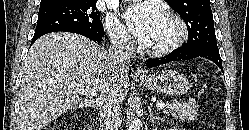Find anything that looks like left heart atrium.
Here are the masks:
<instances>
[{"label": "left heart atrium", "instance_id": "1", "mask_svg": "<svg viewBox=\"0 0 249 130\" xmlns=\"http://www.w3.org/2000/svg\"><path fill=\"white\" fill-rule=\"evenodd\" d=\"M123 17L138 40L149 46L155 38L164 15L158 4L147 1L128 7Z\"/></svg>", "mask_w": 249, "mask_h": 130}]
</instances>
